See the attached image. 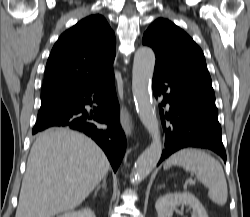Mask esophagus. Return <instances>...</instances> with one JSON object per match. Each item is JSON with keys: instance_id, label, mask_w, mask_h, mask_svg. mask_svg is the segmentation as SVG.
<instances>
[{"instance_id": "34e87169", "label": "esophagus", "mask_w": 250, "mask_h": 217, "mask_svg": "<svg viewBox=\"0 0 250 217\" xmlns=\"http://www.w3.org/2000/svg\"><path fill=\"white\" fill-rule=\"evenodd\" d=\"M120 121L123 130L125 131L127 136H131L133 133L132 128V119L129 113H127L123 108L121 109L120 113Z\"/></svg>"}]
</instances>
